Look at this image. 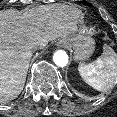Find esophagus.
I'll use <instances>...</instances> for the list:
<instances>
[{
    "label": "esophagus",
    "mask_w": 117,
    "mask_h": 117,
    "mask_svg": "<svg viewBox=\"0 0 117 117\" xmlns=\"http://www.w3.org/2000/svg\"><path fill=\"white\" fill-rule=\"evenodd\" d=\"M66 43L67 42L65 40H63V41L60 42L61 46H63V47L66 46Z\"/></svg>",
    "instance_id": "1"
}]
</instances>
